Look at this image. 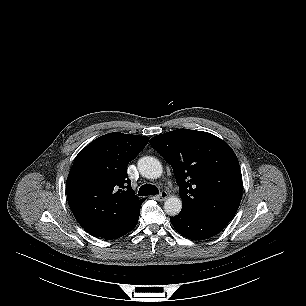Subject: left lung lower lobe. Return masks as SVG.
<instances>
[{
	"label": "left lung lower lobe",
	"instance_id": "obj_1",
	"mask_svg": "<svg viewBox=\"0 0 306 306\" xmlns=\"http://www.w3.org/2000/svg\"><path fill=\"white\" fill-rule=\"evenodd\" d=\"M173 227L184 237L203 240L218 234L228 224L226 221L198 217L181 211L171 217Z\"/></svg>",
	"mask_w": 306,
	"mask_h": 306
}]
</instances>
